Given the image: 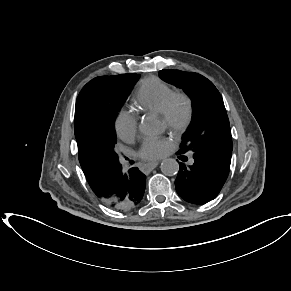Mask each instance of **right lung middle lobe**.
<instances>
[{"mask_svg": "<svg viewBox=\"0 0 291 291\" xmlns=\"http://www.w3.org/2000/svg\"><path fill=\"white\" fill-rule=\"evenodd\" d=\"M138 74L100 76L89 81L77 101L89 145L107 163L116 164L114 122Z\"/></svg>", "mask_w": 291, "mask_h": 291, "instance_id": "dd1d6c3e", "label": "right lung middle lobe"}]
</instances>
